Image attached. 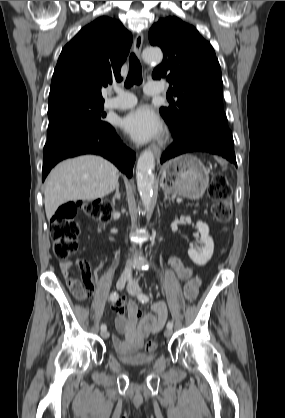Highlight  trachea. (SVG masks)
Here are the masks:
<instances>
[{
	"instance_id": "trachea-1",
	"label": "trachea",
	"mask_w": 285,
	"mask_h": 418,
	"mask_svg": "<svg viewBox=\"0 0 285 418\" xmlns=\"http://www.w3.org/2000/svg\"><path fill=\"white\" fill-rule=\"evenodd\" d=\"M142 83V67L135 56V54H131L129 58V73L125 81V87L129 88L134 84H141Z\"/></svg>"
}]
</instances>
